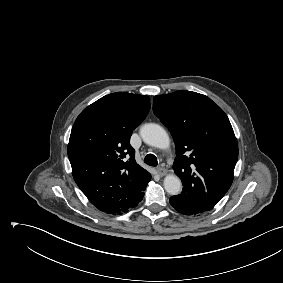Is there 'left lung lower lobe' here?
Masks as SVG:
<instances>
[{"mask_svg": "<svg viewBox=\"0 0 283 283\" xmlns=\"http://www.w3.org/2000/svg\"><path fill=\"white\" fill-rule=\"evenodd\" d=\"M170 204L178 212L184 215H197L209 211L197 201L187 197L185 194H179L170 198Z\"/></svg>", "mask_w": 283, "mask_h": 283, "instance_id": "0a47b994", "label": "left lung lower lobe"}]
</instances>
